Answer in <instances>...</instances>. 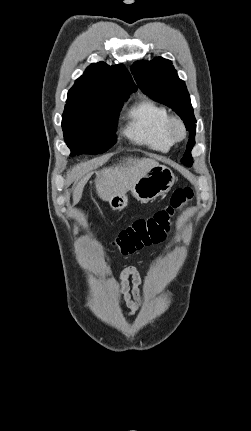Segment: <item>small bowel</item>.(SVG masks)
<instances>
[{
    "label": "small bowel",
    "instance_id": "c3829d8e",
    "mask_svg": "<svg viewBox=\"0 0 251 431\" xmlns=\"http://www.w3.org/2000/svg\"><path fill=\"white\" fill-rule=\"evenodd\" d=\"M119 277L122 299L129 310L128 318H133L138 309L145 305L140 290L141 273L135 266L128 265L120 271Z\"/></svg>",
    "mask_w": 251,
    "mask_h": 431
}]
</instances>
